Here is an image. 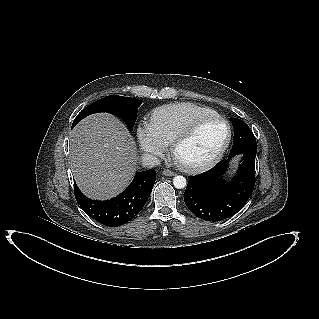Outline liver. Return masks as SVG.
Masks as SVG:
<instances>
[{
    "instance_id": "6515ba94",
    "label": "liver",
    "mask_w": 319,
    "mask_h": 319,
    "mask_svg": "<svg viewBox=\"0 0 319 319\" xmlns=\"http://www.w3.org/2000/svg\"><path fill=\"white\" fill-rule=\"evenodd\" d=\"M70 164L76 183L89 198L109 199L121 193L137 169L136 143L108 113L84 118L70 132Z\"/></svg>"
}]
</instances>
